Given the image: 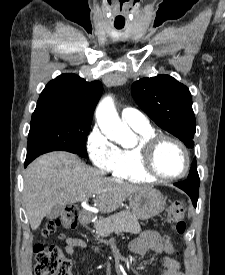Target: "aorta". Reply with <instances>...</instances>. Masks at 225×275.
Listing matches in <instances>:
<instances>
[{
    "mask_svg": "<svg viewBox=\"0 0 225 275\" xmlns=\"http://www.w3.org/2000/svg\"><path fill=\"white\" fill-rule=\"evenodd\" d=\"M96 120L102 133L125 148L136 144V136L119 118L112 97L101 100L96 109Z\"/></svg>",
    "mask_w": 225,
    "mask_h": 275,
    "instance_id": "obj_1",
    "label": "aorta"
}]
</instances>
